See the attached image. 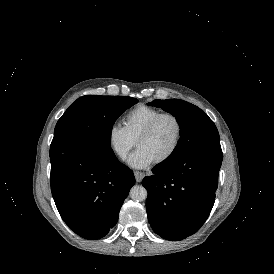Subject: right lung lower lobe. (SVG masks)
<instances>
[{"label": "right lung lower lobe", "instance_id": "98d812e1", "mask_svg": "<svg viewBox=\"0 0 274 274\" xmlns=\"http://www.w3.org/2000/svg\"><path fill=\"white\" fill-rule=\"evenodd\" d=\"M51 191L65 223L86 239L108 234L135 184L112 149L62 154L51 162Z\"/></svg>", "mask_w": 274, "mask_h": 274}]
</instances>
